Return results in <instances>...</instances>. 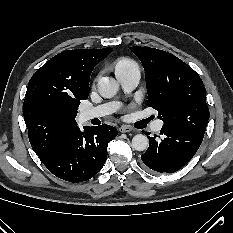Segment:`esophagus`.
Wrapping results in <instances>:
<instances>
[{
  "instance_id": "34e87169",
  "label": "esophagus",
  "mask_w": 233,
  "mask_h": 233,
  "mask_svg": "<svg viewBox=\"0 0 233 233\" xmlns=\"http://www.w3.org/2000/svg\"><path fill=\"white\" fill-rule=\"evenodd\" d=\"M132 131V128L128 125H122L120 128H119V132L121 133H128V132H131Z\"/></svg>"
}]
</instances>
